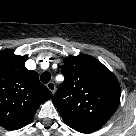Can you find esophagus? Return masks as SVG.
Here are the masks:
<instances>
[{"mask_svg": "<svg viewBox=\"0 0 136 136\" xmlns=\"http://www.w3.org/2000/svg\"><path fill=\"white\" fill-rule=\"evenodd\" d=\"M46 86L53 94L55 93L56 86H55L54 82H49V83H47Z\"/></svg>", "mask_w": 136, "mask_h": 136, "instance_id": "esophagus-1", "label": "esophagus"}]
</instances>
